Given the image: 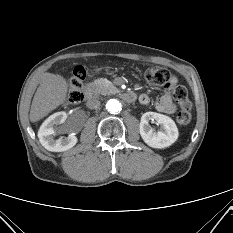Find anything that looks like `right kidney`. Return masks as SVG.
I'll return each mask as SVG.
<instances>
[{"label": "right kidney", "mask_w": 233, "mask_h": 233, "mask_svg": "<svg viewBox=\"0 0 233 233\" xmlns=\"http://www.w3.org/2000/svg\"><path fill=\"white\" fill-rule=\"evenodd\" d=\"M66 119V112L61 111L49 116L43 122L38 131V137L45 149L52 152H63L76 145L77 137L74 134H69L67 137H60L59 139L54 138L57 133V125L63 124Z\"/></svg>", "instance_id": "right-kidney-1"}]
</instances>
